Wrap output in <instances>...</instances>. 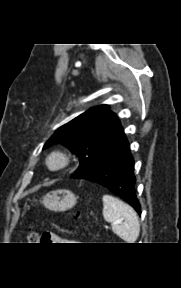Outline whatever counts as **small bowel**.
<instances>
[{"label": "small bowel", "instance_id": "c3829d8e", "mask_svg": "<svg viewBox=\"0 0 181 288\" xmlns=\"http://www.w3.org/2000/svg\"><path fill=\"white\" fill-rule=\"evenodd\" d=\"M50 242L74 243V240L65 236L55 234V233H50Z\"/></svg>", "mask_w": 181, "mask_h": 288}]
</instances>
